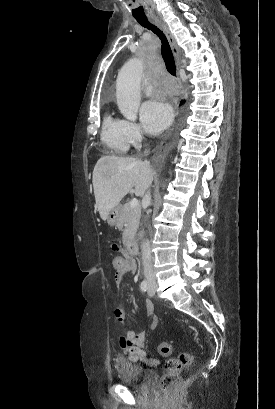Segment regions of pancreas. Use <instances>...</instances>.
Returning <instances> with one entry per match:
<instances>
[{
    "label": "pancreas",
    "instance_id": "cf45deb5",
    "mask_svg": "<svg viewBox=\"0 0 275 409\" xmlns=\"http://www.w3.org/2000/svg\"><path fill=\"white\" fill-rule=\"evenodd\" d=\"M141 215V207L137 205V207H131V202H125L123 205L120 213V219L118 221V227L121 225H126L125 229H123V245L124 247H130V243L132 239H134V235L139 227Z\"/></svg>",
    "mask_w": 275,
    "mask_h": 409
}]
</instances>
